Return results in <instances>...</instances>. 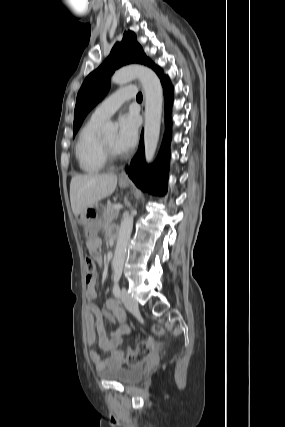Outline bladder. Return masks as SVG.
Wrapping results in <instances>:
<instances>
[{"instance_id": "bladder-1", "label": "bladder", "mask_w": 285, "mask_h": 427, "mask_svg": "<svg viewBox=\"0 0 285 427\" xmlns=\"http://www.w3.org/2000/svg\"><path fill=\"white\" fill-rule=\"evenodd\" d=\"M104 380L116 381L125 385H131L138 382L143 376V368L140 365L130 367H110L99 373Z\"/></svg>"}]
</instances>
